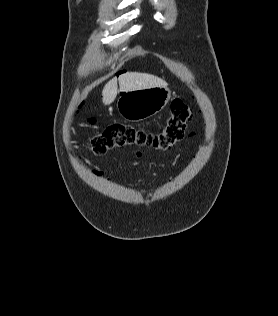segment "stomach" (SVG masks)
<instances>
[{"label": "stomach", "instance_id": "0dacf381", "mask_svg": "<svg viewBox=\"0 0 278 316\" xmlns=\"http://www.w3.org/2000/svg\"><path fill=\"white\" fill-rule=\"evenodd\" d=\"M171 91L158 86L122 93L117 102L119 114L129 121H140L159 113L168 103Z\"/></svg>", "mask_w": 278, "mask_h": 316}]
</instances>
